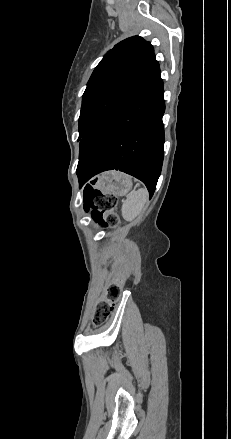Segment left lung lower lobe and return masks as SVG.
Segmentation results:
<instances>
[{"mask_svg": "<svg viewBox=\"0 0 231 439\" xmlns=\"http://www.w3.org/2000/svg\"><path fill=\"white\" fill-rule=\"evenodd\" d=\"M158 68L112 108L80 141L77 175L120 170L145 183L153 195L163 163L165 111Z\"/></svg>", "mask_w": 231, "mask_h": 439, "instance_id": "obj_1", "label": "left lung lower lobe"}]
</instances>
